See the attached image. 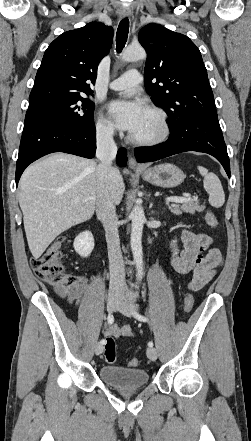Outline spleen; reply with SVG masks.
<instances>
[{"label":"spleen","mask_w":251,"mask_h":441,"mask_svg":"<svg viewBox=\"0 0 251 441\" xmlns=\"http://www.w3.org/2000/svg\"><path fill=\"white\" fill-rule=\"evenodd\" d=\"M199 173L204 177L203 186L206 192L209 194V203L215 208L223 206L225 202V194L222 184L212 172H209L205 167L198 166Z\"/></svg>","instance_id":"spleen-1"}]
</instances>
